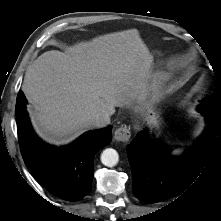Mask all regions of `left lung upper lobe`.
Returning a JSON list of instances; mask_svg holds the SVG:
<instances>
[{
  "label": "left lung upper lobe",
  "mask_w": 221,
  "mask_h": 221,
  "mask_svg": "<svg viewBox=\"0 0 221 221\" xmlns=\"http://www.w3.org/2000/svg\"><path fill=\"white\" fill-rule=\"evenodd\" d=\"M198 109L204 114L221 115V93L216 91L212 96L204 98Z\"/></svg>",
  "instance_id": "1"
}]
</instances>
